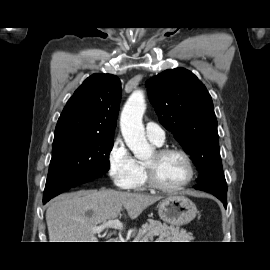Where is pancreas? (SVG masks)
Listing matches in <instances>:
<instances>
[{
  "label": "pancreas",
  "instance_id": "cf45deb5",
  "mask_svg": "<svg viewBox=\"0 0 270 270\" xmlns=\"http://www.w3.org/2000/svg\"><path fill=\"white\" fill-rule=\"evenodd\" d=\"M166 239L168 242H191L194 237L185 229L168 226L160 221L149 219L148 223L142 225L133 242H153L154 237Z\"/></svg>",
  "mask_w": 270,
  "mask_h": 270
}]
</instances>
